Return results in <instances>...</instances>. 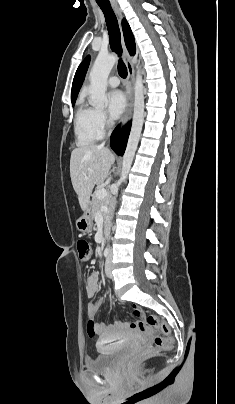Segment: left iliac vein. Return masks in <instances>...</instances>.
Wrapping results in <instances>:
<instances>
[{"label":"left iliac vein","mask_w":235,"mask_h":404,"mask_svg":"<svg viewBox=\"0 0 235 404\" xmlns=\"http://www.w3.org/2000/svg\"><path fill=\"white\" fill-rule=\"evenodd\" d=\"M105 273L108 278H112V252L110 251L106 263H105Z\"/></svg>","instance_id":"4c4485c4"}]
</instances>
